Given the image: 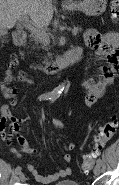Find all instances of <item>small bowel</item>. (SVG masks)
I'll use <instances>...</instances> for the list:
<instances>
[{"instance_id":"small-bowel-1","label":"small bowel","mask_w":119,"mask_h":185,"mask_svg":"<svg viewBox=\"0 0 119 185\" xmlns=\"http://www.w3.org/2000/svg\"><path fill=\"white\" fill-rule=\"evenodd\" d=\"M84 39L88 46L95 49L97 58L104 59L106 61V64L99 68L97 79L92 77L83 83V87L86 91V97L84 100L85 105L91 106L102 96L106 86L114 82L116 71L119 66V35L117 32L113 31L99 32L95 29H88L84 33ZM18 64L19 61L17 58H13L10 61L5 72V77L0 86L3 97L10 100L9 105H3L1 108V135L10 152L18 159L23 160L24 154H35L37 153V150L29 145L20 132L21 125L26 124L29 121V117H15L10 109L11 107H16L18 104L16 97L17 86L14 83L22 82L25 84H32V80L30 78H28L23 72L16 70ZM7 120L11 121L9 131H7L4 126ZM51 124L57 130L64 127L63 123L58 119H53ZM14 137H16L18 142L21 144L20 148H16L13 145ZM74 147L75 145L73 142H67L64 144V148L67 151V153L63 155V161L65 163L71 162L72 158L68 152L72 151ZM26 168L31 172L37 182L44 184L65 178L72 173V169L69 166L50 175L41 174L31 164H26Z\"/></svg>"}]
</instances>
